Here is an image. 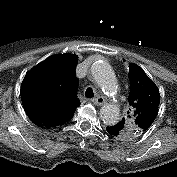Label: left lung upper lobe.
I'll return each instance as SVG.
<instances>
[{
  "instance_id": "obj_1",
  "label": "left lung upper lobe",
  "mask_w": 177,
  "mask_h": 177,
  "mask_svg": "<svg viewBox=\"0 0 177 177\" xmlns=\"http://www.w3.org/2000/svg\"><path fill=\"white\" fill-rule=\"evenodd\" d=\"M128 78L130 108L127 118H123L115 125L121 131L117 139L143 136L154 122L159 108V90L142 68L130 64Z\"/></svg>"
}]
</instances>
